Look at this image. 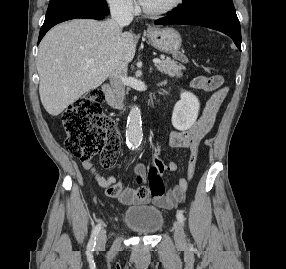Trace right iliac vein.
<instances>
[{"mask_svg":"<svg viewBox=\"0 0 286 269\" xmlns=\"http://www.w3.org/2000/svg\"><path fill=\"white\" fill-rule=\"evenodd\" d=\"M106 243V232L103 230L100 232L97 238L96 248L103 249Z\"/></svg>","mask_w":286,"mask_h":269,"instance_id":"obj_1","label":"right iliac vein"}]
</instances>
